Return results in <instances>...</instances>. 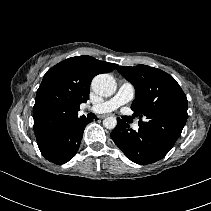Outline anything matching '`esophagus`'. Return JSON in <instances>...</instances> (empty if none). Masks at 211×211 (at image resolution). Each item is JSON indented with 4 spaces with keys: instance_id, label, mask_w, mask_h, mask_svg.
<instances>
[{
    "instance_id": "esophagus-1",
    "label": "esophagus",
    "mask_w": 211,
    "mask_h": 211,
    "mask_svg": "<svg viewBox=\"0 0 211 211\" xmlns=\"http://www.w3.org/2000/svg\"><path fill=\"white\" fill-rule=\"evenodd\" d=\"M108 115H102L101 116V119H104V118H106Z\"/></svg>"
}]
</instances>
